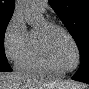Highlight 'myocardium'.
I'll use <instances>...</instances> for the list:
<instances>
[{"instance_id": "1", "label": "myocardium", "mask_w": 89, "mask_h": 89, "mask_svg": "<svg viewBox=\"0 0 89 89\" xmlns=\"http://www.w3.org/2000/svg\"><path fill=\"white\" fill-rule=\"evenodd\" d=\"M62 30L67 37L70 39V41L72 42L75 51H76V63L74 65V67H72L71 69L68 70H59L55 67L51 54H50V48H49V36L50 34L56 30ZM38 39H39V43H40V48L41 51L43 53V56L46 60V63L48 64V66L55 71L56 73L60 74L61 76L74 71L75 69L78 68V66L80 65V49L78 47V44L75 40V38L73 37V35L71 34V32L63 25L59 24V23H55V22H51V21H46L44 23V26L40 29H38Z\"/></svg>"}]
</instances>
